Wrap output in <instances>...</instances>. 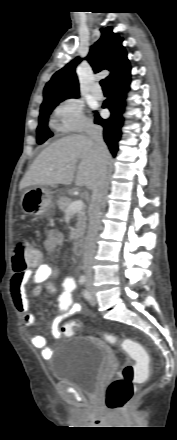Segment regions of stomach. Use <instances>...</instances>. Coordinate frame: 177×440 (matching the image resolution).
I'll return each instance as SVG.
<instances>
[{
    "mask_svg": "<svg viewBox=\"0 0 177 440\" xmlns=\"http://www.w3.org/2000/svg\"><path fill=\"white\" fill-rule=\"evenodd\" d=\"M20 206L26 215L48 218L55 211L53 193L48 187L42 186L27 189L22 195Z\"/></svg>",
    "mask_w": 177,
    "mask_h": 440,
    "instance_id": "0dacf381",
    "label": "stomach"
}]
</instances>
